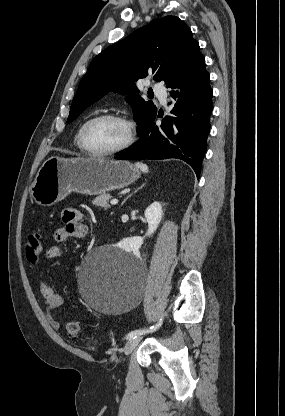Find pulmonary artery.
I'll return each mask as SVG.
<instances>
[{
    "mask_svg": "<svg viewBox=\"0 0 285 416\" xmlns=\"http://www.w3.org/2000/svg\"><path fill=\"white\" fill-rule=\"evenodd\" d=\"M148 85H150V82L147 81ZM154 93L156 96L160 99V101L165 104L167 100V89L162 84H155L152 86Z\"/></svg>",
    "mask_w": 285,
    "mask_h": 416,
    "instance_id": "obj_1",
    "label": "pulmonary artery"
}]
</instances>
